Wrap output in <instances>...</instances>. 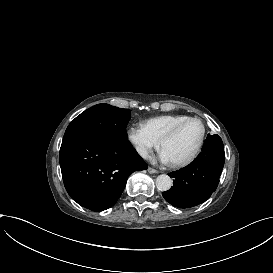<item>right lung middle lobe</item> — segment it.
Here are the masks:
<instances>
[{"mask_svg": "<svg viewBox=\"0 0 273 273\" xmlns=\"http://www.w3.org/2000/svg\"><path fill=\"white\" fill-rule=\"evenodd\" d=\"M129 112V109L105 103L97 104L85 110L69 124L63 141L72 137H91L130 144L125 131Z\"/></svg>", "mask_w": 273, "mask_h": 273, "instance_id": "1", "label": "right lung middle lobe"}]
</instances>
